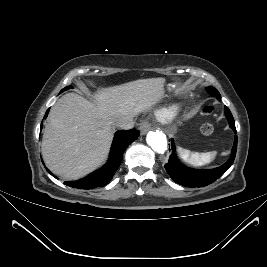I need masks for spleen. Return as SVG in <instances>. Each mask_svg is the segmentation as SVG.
Wrapping results in <instances>:
<instances>
[{
    "label": "spleen",
    "mask_w": 267,
    "mask_h": 267,
    "mask_svg": "<svg viewBox=\"0 0 267 267\" xmlns=\"http://www.w3.org/2000/svg\"><path fill=\"white\" fill-rule=\"evenodd\" d=\"M177 151L181 159H183L186 163L196 167L209 164L217 155L216 151L199 153L191 152L188 149H183L180 147L177 149Z\"/></svg>",
    "instance_id": "1"
}]
</instances>
